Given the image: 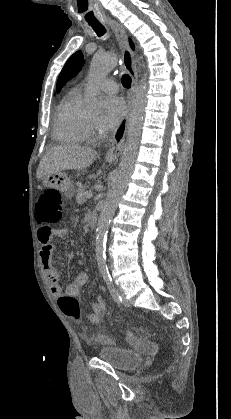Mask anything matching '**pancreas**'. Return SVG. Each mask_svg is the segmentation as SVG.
<instances>
[{
	"mask_svg": "<svg viewBox=\"0 0 231 419\" xmlns=\"http://www.w3.org/2000/svg\"><path fill=\"white\" fill-rule=\"evenodd\" d=\"M77 186V196H76V202L79 205H83L86 202V196L85 193L87 191V187L86 186H82L80 183L76 184Z\"/></svg>",
	"mask_w": 231,
	"mask_h": 419,
	"instance_id": "1",
	"label": "pancreas"
}]
</instances>
